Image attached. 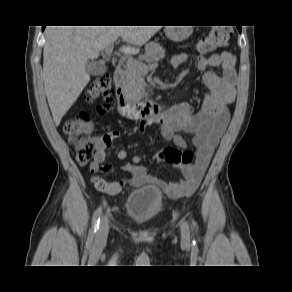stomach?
Segmentation results:
<instances>
[{
  "label": "stomach",
  "instance_id": "stomach-1",
  "mask_svg": "<svg viewBox=\"0 0 292 292\" xmlns=\"http://www.w3.org/2000/svg\"><path fill=\"white\" fill-rule=\"evenodd\" d=\"M191 30L189 26L183 28L171 27L166 30V34L172 41L181 42L188 39Z\"/></svg>",
  "mask_w": 292,
  "mask_h": 292
}]
</instances>
